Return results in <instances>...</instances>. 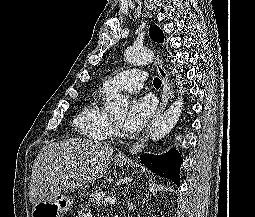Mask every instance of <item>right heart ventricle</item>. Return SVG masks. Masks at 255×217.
I'll use <instances>...</instances> for the list:
<instances>
[{
  "instance_id": "e07e8e85",
  "label": "right heart ventricle",
  "mask_w": 255,
  "mask_h": 217,
  "mask_svg": "<svg viewBox=\"0 0 255 217\" xmlns=\"http://www.w3.org/2000/svg\"><path fill=\"white\" fill-rule=\"evenodd\" d=\"M107 93L108 91L100 87L81 108L74 120V125L80 134L89 140L104 141L111 137L112 117L102 107V99Z\"/></svg>"
}]
</instances>
